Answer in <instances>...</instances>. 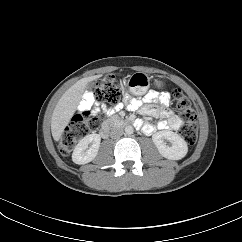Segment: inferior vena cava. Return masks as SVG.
Wrapping results in <instances>:
<instances>
[{"mask_svg":"<svg viewBox=\"0 0 242 242\" xmlns=\"http://www.w3.org/2000/svg\"><path fill=\"white\" fill-rule=\"evenodd\" d=\"M123 135V129L121 128H113L111 130L110 136L113 139H118Z\"/></svg>","mask_w":242,"mask_h":242,"instance_id":"602c4592","label":"inferior vena cava"}]
</instances>
